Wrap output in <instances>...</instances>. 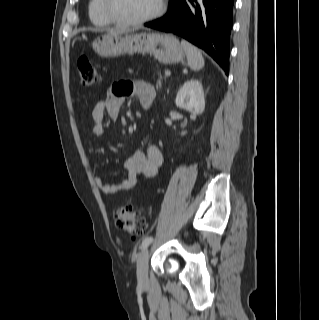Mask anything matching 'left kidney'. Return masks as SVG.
Wrapping results in <instances>:
<instances>
[{
    "instance_id": "left-kidney-1",
    "label": "left kidney",
    "mask_w": 319,
    "mask_h": 320,
    "mask_svg": "<svg viewBox=\"0 0 319 320\" xmlns=\"http://www.w3.org/2000/svg\"><path fill=\"white\" fill-rule=\"evenodd\" d=\"M175 103L177 107L186 109L194 116L201 114L205 108V97L201 82L193 79L186 81L180 87ZM185 134L186 131L181 133V135Z\"/></svg>"
}]
</instances>
